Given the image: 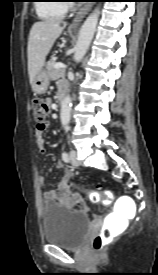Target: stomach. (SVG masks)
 I'll use <instances>...</instances> for the list:
<instances>
[{
	"mask_svg": "<svg viewBox=\"0 0 158 275\" xmlns=\"http://www.w3.org/2000/svg\"><path fill=\"white\" fill-rule=\"evenodd\" d=\"M49 85V76L47 71L41 70L35 76L32 82V90L35 94H43L46 92Z\"/></svg>",
	"mask_w": 158,
	"mask_h": 275,
	"instance_id": "obj_1",
	"label": "stomach"
}]
</instances>
